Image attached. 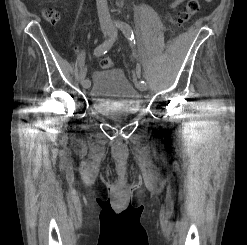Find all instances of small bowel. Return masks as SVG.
I'll list each match as a JSON object with an SVG mask.
<instances>
[{
	"mask_svg": "<svg viewBox=\"0 0 247 245\" xmlns=\"http://www.w3.org/2000/svg\"><path fill=\"white\" fill-rule=\"evenodd\" d=\"M184 0H174L171 4L173 8L179 6ZM206 1H211V0H206Z\"/></svg>",
	"mask_w": 247,
	"mask_h": 245,
	"instance_id": "obj_1",
	"label": "small bowel"
}]
</instances>
